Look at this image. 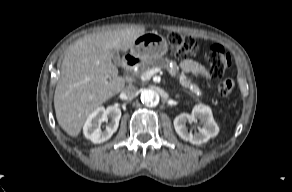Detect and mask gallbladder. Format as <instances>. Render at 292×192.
Returning a JSON list of instances; mask_svg holds the SVG:
<instances>
[{"instance_id": "gallbladder-1", "label": "gallbladder", "mask_w": 292, "mask_h": 192, "mask_svg": "<svg viewBox=\"0 0 292 192\" xmlns=\"http://www.w3.org/2000/svg\"><path fill=\"white\" fill-rule=\"evenodd\" d=\"M112 59H113L115 64H120L121 63V58H120L118 50H116V49L112 50Z\"/></svg>"}]
</instances>
